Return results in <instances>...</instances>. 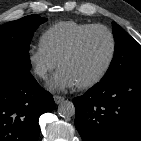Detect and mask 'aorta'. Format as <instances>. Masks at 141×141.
<instances>
[{"label": "aorta", "mask_w": 141, "mask_h": 141, "mask_svg": "<svg viewBox=\"0 0 141 141\" xmlns=\"http://www.w3.org/2000/svg\"><path fill=\"white\" fill-rule=\"evenodd\" d=\"M58 113L61 117L70 118L75 115V106L71 101L65 100L59 104Z\"/></svg>", "instance_id": "aorta-1"}]
</instances>
